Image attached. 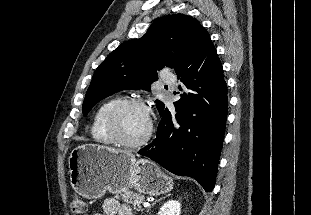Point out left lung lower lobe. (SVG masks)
<instances>
[{"instance_id":"0a47b994","label":"left lung lower lobe","mask_w":311,"mask_h":215,"mask_svg":"<svg viewBox=\"0 0 311 215\" xmlns=\"http://www.w3.org/2000/svg\"><path fill=\"white\" fill-rule=\"evenodd\" d=\"M175 72L186 89L174 103L175 112L164 104L158 109L161 120L156 138L138 153L176 175L196 179L211 192L224 140L228 100L222 65L209 35Z\"/></svg>"}]
</instances>
